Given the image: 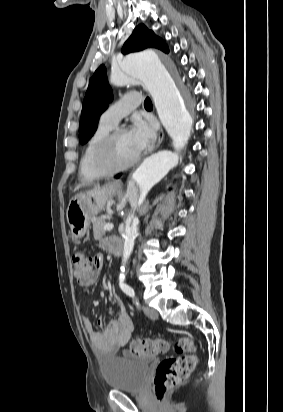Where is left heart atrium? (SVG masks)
I'll use <instances>...</instances> for the list:
<instances>
[{
    "label": "left heart atrium",
    "instance_id": "obj_1",
    "mask_svg": "<svg viewBox=\"0 0 283 412\" xmlns=\"http://www.w3.org/2000/svg\"><path fill=\"white\" fill-rule=\"evenodd\" d=\"M129 137L137 150L141 153L152 144L155 138L154 127L152 123H147L142 119H136L128 131Z\"/></svg>",
    "mask_w": 283,
    "mask_h": 412
}]
</instances>
